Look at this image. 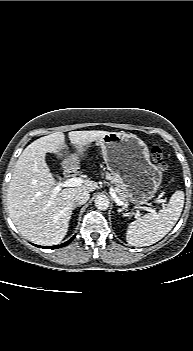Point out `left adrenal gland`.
I'll list each match as a JSON object with an SVG mask.
<instances>
[{
    "mask_svg": "<svg viewBox=\"0 0 193 351\" xmlns=\"http://www.w3.org/2000/svg\"><path fill=\"white\" fill-rule=\"evenodd\" d=\"M117 212H121V210H117Z\"/></svg>",
    "mask_w": 193,
    "mask_h": 351,
    "instance_id": "a2214340",
    "label": "left adrenal gland"
}]
</instances>
